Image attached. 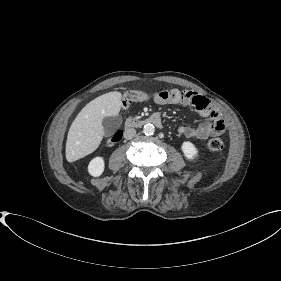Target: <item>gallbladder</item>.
I'll return each instance as SVG.
<instances>
[{
	"label": "gallbladder",
	"instance_id": "bac80fb5",
	"mask_svg": "<svg viewBox=\"0 0 281 281\" xmlns=\"http://www.w3.org/2000/svg\"><path fill=\"white\" fill-rule=\"evenodd\" d=\"M122 118L120 116H107L103 119L102 125L106 136L112 135L121 125Z\"/></svg>",
	"mask_w": 281,
	"mask_h": 281
}]
</instances>
